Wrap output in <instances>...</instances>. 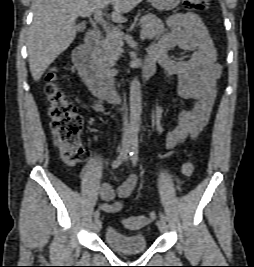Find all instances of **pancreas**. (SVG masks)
Masks as SVG:
<instances>
[{
	"label": "pancreas",
	"mask_w": 254,
	"mask_h": 267,
	"mask_svg": "<svg viewBox=\"0 0 254 267\" xmlns=\"http://www.w3.org/2000/svg\"><path fill=\"white\" fill-rule=\"evenodd\" d=\"M141 33L146 38L154 39L159 37L165 31L164 24L154 14H147L140 19ZM123 42L120 39L112 38L107 35L100 46L95 50L94 55L97 63L104 69L112 67L121 53Z\"/></svg>",
	"instance_id": "1"
}]
</instances>
